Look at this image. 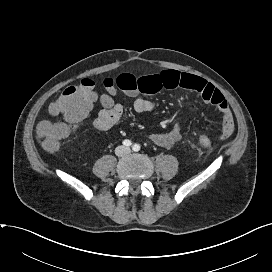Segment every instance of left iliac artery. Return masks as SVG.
<instances>
[{
  "instance_id": "left-iliac-artery-1",
  "label": "left iliac artery",
  "mask_w": 272,
  "mask_h": 272,
  "mask_svg": "<svg viewBox=\"0 0 272 272\" xmlns=\"http://www.w3.org/2000/svg\"><path fill=\"white\" fill-rule=\"evenodd\" d=\"M133 150L134 151H139L140 150V145L139 144H135L134 146H133Z\"/></svg>"
}]
</instances>
